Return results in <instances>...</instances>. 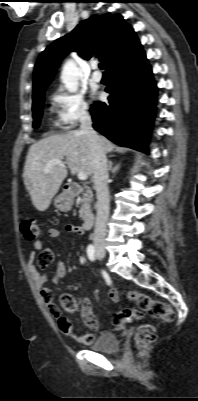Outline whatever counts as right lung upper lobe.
<instances>
[{
    "instance_id": "cb5924a9",
    "label": "right lung upper lobe",
    "mask_w": 198,
    "mask_h": 401,
    "mask_svg": "<svg viewBox=\"0 0 198 401\" xmlns=\"http://www.w3.org/2000/svg\"><path fill=\"white\" fill-rule=\"evenodd\" d=\"M139 44L133 28L121 15H94L39 55L33 75V97L45 91L60 61L71 50L84 59L99 57L108 70Z\"/></svg>"
}]
</instances>
